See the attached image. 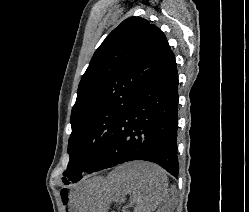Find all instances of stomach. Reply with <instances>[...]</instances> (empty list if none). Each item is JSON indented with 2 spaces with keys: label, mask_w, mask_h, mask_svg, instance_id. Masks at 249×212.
Instances as JSON below:
<instances>
[{
  "label": "stomach",
  "mask_w": 249,
  "mask_h": 212,
  "mask_svg": "<svg viewBox=\"0 0 249 212\" xmlns=\"http://www.w3.org/2000/svg\"><path fill=\"white\" fill-rule=\"evenodd\" d=\"M114 179L86 180L72 188H64L61 198L68 212H105L111 210V205H104V201L114 198V193H102L100 189H109Z\"/></svg>",
  "instance_id": "stomach-1"
}]
</instances>
